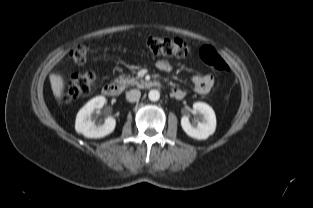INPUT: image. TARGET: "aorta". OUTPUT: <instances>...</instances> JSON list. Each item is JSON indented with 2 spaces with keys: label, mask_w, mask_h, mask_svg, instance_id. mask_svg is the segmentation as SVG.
<instances>
[{
  "label": "aorta",
  "mask_w": 313,
  "mask_h": 208,
  "mask_svg": "<svg viewBox=\"0 0 313 208\" xmlns=\"http://www.w3.org/2000/svg\"><path fill=\"white\" fill-rule=\"evenodd\" d=\"M148 98L151 100V101H158L159 98H160V93L158 90H150V92L148 93Z\"/></svg>",
  "instance_id": "1"
}]
</instances>
